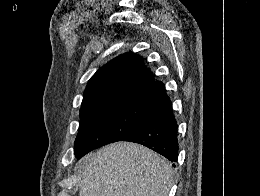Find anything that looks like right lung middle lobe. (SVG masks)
<instances>
[{
  "instance_id": "right-lung-middle-lobe-1",
  "label": "right lung middle lobe",
  "mask_w": 260,
  "mask_h": 196,
  "mask_svg": "<svg viewBox=\"0 0 260 196\" xmlns=\"http://www.w3.org/2000/svg\"><path fill=\"white\" fill-rule=\"evenodd\" d=\"M155 118L144 107L132 103L82 106L76 149H95L122 137Z\"/></svg>"
}]
</instances>
